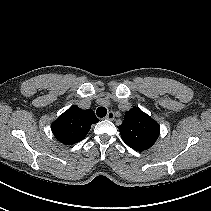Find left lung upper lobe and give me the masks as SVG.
<instances>
[{"instance_id":"left-lung-upper-lobe-1","label":"left lung upper lobe","mask_w":211,"mask_h":211,"mask_svg":"<svg viewBox=\"0 0 211 211\" xmlns=\"http://www.w3.org/2000/svg\"><path fill=\"white\" fill-rule=\"evenodd\" d=\"M118 129L123 141L136 151L152 147L160 134L158 123L138 107L126 112L124 122Z\"/></svg>"}]
</instances>
